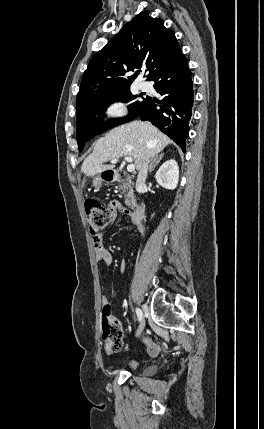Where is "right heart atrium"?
Masks as SVG:
<instances>
[{"label": "right heart atrium", "mask_w": 264, "mask_h": 429, "mask_svg": "<svg viewBox=\"0 0 264 429\" xmlns=\"http://www.w3.org/2000/svg\"><path fill=\"white\" fill-rule=\"evenodd\" d=\"M103 115L111 121H121L128 115V106L123 100L112 99L105 104Z\"/></svg>", "instance_id": "obj_1"}]
</instances>
